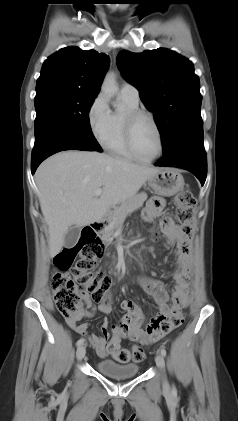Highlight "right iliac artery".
<instances>
[{
  "instance_id": "right-iliac-artery-1",
  "label": "right iliac artery",
  "mask_w": 238,
  "mask_h": 421,
  "mask_svg": "<svg viewBox=\"0 0 238 421\" xmlns=\"http://www.w3.org/2000/svg\"><path fill=\"white\" fill-rule=\"evenodd\" d=\"M84 341H85V339L81 338V339H79V340L77 341L76 345H77V346H80V345H82V344L84 343Z\"/></svg>"
}]
</instances>
